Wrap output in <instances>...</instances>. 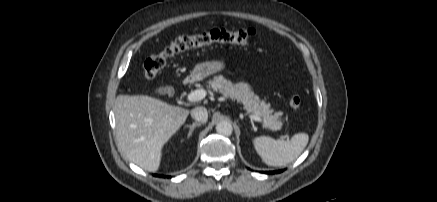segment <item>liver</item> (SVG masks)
Wrapping results in <instances>:
<instances>
[{
  "label": "liver",
  "instance_id": "liver-1",
  "mask_svg": "<svg viewBox=\"0 0 437 202\" xmlns=\"http://www.w3.org/2000/svg\"><path fill=\"white\" fill-rule=\"evenodd\" d=\"M189 112L145 95H118L114 104L118 146L130 161L156 172L164 144L185 123Z\"/></svg>",
  "mask_w": 437,
  "mask_h": 202
}]
</instances>
